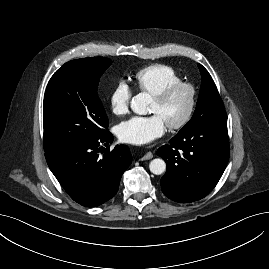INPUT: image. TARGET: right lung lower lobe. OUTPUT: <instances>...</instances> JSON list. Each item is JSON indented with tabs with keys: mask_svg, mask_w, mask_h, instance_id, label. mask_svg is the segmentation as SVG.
<instances>
[{
	"mask_svg": "<svg viewBox=\"0 0 269 269\" xmlns=\"http://www.w3.org/2000/svg\"><path fill=\"white\" fill-rule=\"evenodd\" d=\"M112 141L113 135L106 131L98 139L45 153L52 173L77 203L95 207L117 193L121 176L131 164V154L128 146L116 145L112 151L103 150L100 156L102 145Z\"/></svg>",
	"mask_w": 269,
	"mask_h": 269,
	"instance_id": "obj_1",
	"label": "right lung lower lobe"
}]
</instances>
